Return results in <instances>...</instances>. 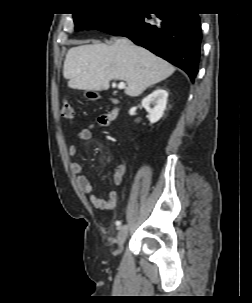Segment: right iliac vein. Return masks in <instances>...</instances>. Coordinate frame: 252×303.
<instances>
[{
    "label": "right iliac vein",
    "instance_id": "1",
    "mask_svg": "<svg viewBox=\"0 0 252 303\" xmlns=\"http://www.w3.org/2000/svg\"><path fill=\"white\" fill-rule=\"evenodd\" d=\"M128 231H129V227L127 224L120 227V231L117 237V244L119 250L122 248L124 242L126 241V238L128 236Z\"/></svg>",
    "mask_w": 252,
    "mask_h": 303
}]
</instances>
